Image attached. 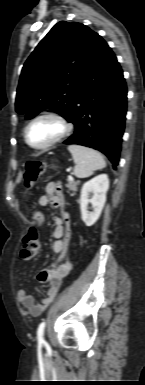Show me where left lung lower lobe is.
Segmentation results:
<instances>
[{
	"label": "left lung lower lobe",
	"instance_id": "left-lung-lower-lobe-1",
	"mask_svg": "<svg viewBox=\"0 0 145 385\" xmlns=\"http://www.w3.org/2000/svg\"><path fill=\"white\" fill-rule=\"evenodd\" d=\"M126 111L127 87L123 71L111 48L97 35L70 119L75 133L64 143L99 150L115 169L119 162Z\"/></svg>",
	"mask_w": 145,
	"mask_h": 385
}]
</instances>
